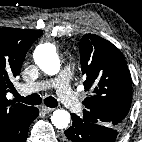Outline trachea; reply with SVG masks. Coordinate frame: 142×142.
I'll list each match as a JSON object with an SVG mask.
<instances>
[{
  "label": "trachea",
  "mask_w": 142,
  "mask_h": 142,
  "mask_svg": "<svg viewBox=\"0 0 142 142\" xmlns=\"http://www.w3.org/2000/svg\"><path fill=\"white\" fill-rule=\"evenodd\" d=\"M15 96V100L19 102H23L28 105H39L41 103V97L38 94H31L27 97H23L17 93V91H13ZM46 106L50 108H56L58 106V102L55 98L49 96L44 100Z\"/></svg>",
  "instance_id": "obj_1"
}]
</instances>
